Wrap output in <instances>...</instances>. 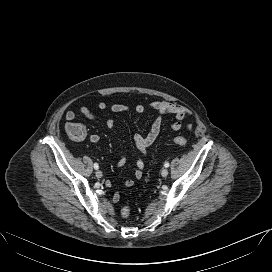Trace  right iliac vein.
<instances>
[{
    "label": "right iliac vein",
    "mask_w": 272,
    "mask_h": 272,
    "mask_svg": "<svg viewBox=\"0 0 272 272\" xmlns=\"http://www.w3.org/2000/svg\"><path fill=\"white\" fill-rule=\"evenodd\" d=\"M97 178H101L102 177V172L100 170H97L95 173Z\"/></svg>",
    "instance_id": "1"
}]
</instances>
